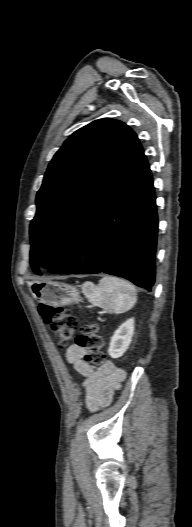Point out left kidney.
<instances>
[{
	"label": "left kidney",
	"instance_id": "obj_1",
	"mask_svg": "<svg viewBox=\"0 0 192 527\" xmlns=\"http://www.w3.org/2000/svg\"><path fill=\"white\" fill-rule=\"evenodd\" d=\"M134 334V319L121 324L111 338L108 353L112 358L121 357L128 349Z\"/></svg>",
	"mask_w": 192,
	"mask_h": 527
}]
</instances>
